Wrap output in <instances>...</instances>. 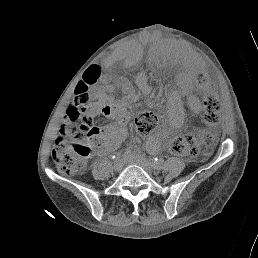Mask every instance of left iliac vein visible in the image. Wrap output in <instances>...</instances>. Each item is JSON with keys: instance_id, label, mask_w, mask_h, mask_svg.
Masks as SVG:
<instances>
[{"instance_id": "4c4485c4", "label": "left iliac vein", "mask_w": 258, "mask_h": 258, "mask_svg": "<svg viewBox=\"0 0 258 258\" xmlns=\"http://www.w3.org/2000/svg\"><path fill=\"white\" fill-rule=\"evenodd\" d=\"M132 162L142 167L146 172H151L153 168V164L142 157H138L134 159Z\"/></svg>"}]
</instances>
